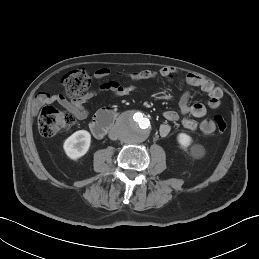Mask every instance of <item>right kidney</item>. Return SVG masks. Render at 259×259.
Returning <instances> with one entry per match:
<instances>
[{
  "label": "right kidney",
  "instance_id": "ca27d5eb",
  "mask_svg": "<svg viewBox=\"0 0 259 259\" xmlns=\"http://www.w3.org/2000/svg\"><path fill=\"white\" fill-rule=\"evenodd\" d=\"M90 143V133L86 130H79L65 140L63 148L70 159L77 160L87 153Z\"/></svg>",
  "mask_w": 259,
  "mask_h": 259
}]
</instances>
